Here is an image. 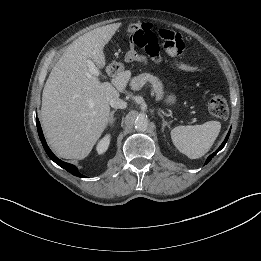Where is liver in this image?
Returning <instances> with one entry per match:
<instances>
[{
	"label": "liver",
	"instance_id": "liver-1",
	"mask_svg": "<svg viewBox=\"0 0 261 261\" xmlns=\"http://www.w3.org/2000/svg\"><path fill=\"white\" fill-rule=\"evenodd\" d=\"M110 27L85 33L73 41L53 67L43 89L40 118L50 146L66 159H84L109 122L110 100L123 91L129 72L101 82L87 66H105L103 48Z\"/></svg>",
	"mask_w": 261,
	"mask_h": 261
}]
</instances>
